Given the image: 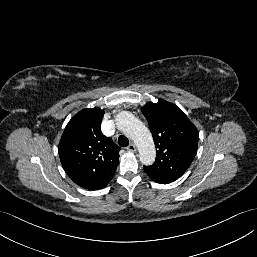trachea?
<instances>
[{"mask_svg": "<svg viewBox=\"0 0 257 257\" xmlns=\"http://www.w3.org/2000/svg\"><path fill=\"white\" fill-rule=\"evenodd\" d=\"M118 144L121 147H127L129 145V140L126 136L120 135L119 138H118Z\"/></svg>", "mask_w": 257, "mask_h": 257, "instance_id": "1", "label": "trachea"}]
</instances>
